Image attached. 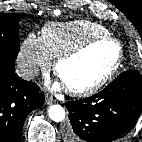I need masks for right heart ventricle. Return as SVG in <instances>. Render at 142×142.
Masks as SVG:
<instances>
[{"label":"right heart ventricle","instance_id":"obj_1","mask_svg":"<svg viewBox=\"0 0 142 142\" xmlns=\"http://www.w3.org/2000/svg\"><path fill=\"white\" fill-rule=\"evenodd\" d=\"M109 34L108 29L98 23L76 20L48 23L43 27L40 38L49 55L57 58L91 38Z\"/></svg>","mask_w":142,"mask_h":142}]
</instances>
